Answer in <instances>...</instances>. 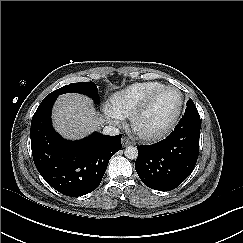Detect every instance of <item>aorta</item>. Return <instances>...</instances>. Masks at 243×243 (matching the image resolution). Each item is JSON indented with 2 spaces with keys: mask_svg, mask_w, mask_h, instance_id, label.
I'll list each match as a JSON object with an SVG mask.
<instances>
[{
  "mask_svg": "<svg viewBox=\"0 0 243 243\" xmlns=\"http://www.w3.org/2000/svg\"><path fill=\"white\" fill-rule=\"evenodd\" d=\"M124 155L126 158L130 159V160H134L137 158L138 156V150L136 147L134 146H128L126 147L125 151H124Z\"/></svg>",
  "mask_w": 243,
  "mask_h": 243,
  "instance_id": "aorta-1",
  "label": "aorta"
}]
</instances>
